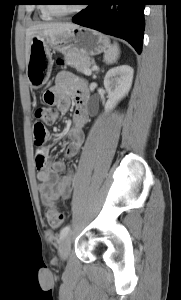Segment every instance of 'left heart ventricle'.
Listing matches in <instances>:
<instances>
[{"mask_svg":"<svg viewBox=\"0 0 181 300\" xmlns=\"http://www.w3.org/2000/svg\"><path fill=\"white\" fill-rule=\"evenodd\" d=\"M57 2H61V3H69L70 1H63V0H59ZM56 9L59 11H69L71 9H73V5L70 4H59V5H55Z\"/></svg>","mask_w":181,"mask_h":300,"instance_id":"b2bd125f","label":"left heart ventricle"}]
</instances>
